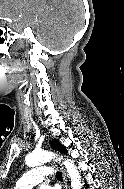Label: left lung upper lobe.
Returning <instances> with one entry per match:
<instances>
[{"label": "left lung upper lobe", "instance_id": "left-lung-upper-lobe-1", "mask_svg": "<svg viewBox=\"0 0 124 189\" xmlns=\"http://www.w3.org/2000/svg\"><path fill=\"white\" fill-rule=\"evenodd\" d=\"M50 143H51V146L53 147V149H56L59 152L66 153L65 148L59 143V141L56 140V141H52Z\"/></svg>", "mask_w": 124, "mask_h": 189}]
</instances>
